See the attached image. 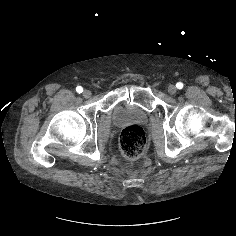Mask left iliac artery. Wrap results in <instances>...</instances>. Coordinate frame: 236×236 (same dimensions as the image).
<instances>
[{
  "mask_svg": "<svg viewBox=\"0 0 236 236\" xmlns=\"http://www.w3.org/2000/svg\"><path fill=\"white\" fill-rule=\"evenodd\" d=\"M183 83L182 82H178L177 84H176V87L178 88V89H182L183 88Z\"/></svg>",
  "mask_w": 236,
  "mask_h": 236,
  "instance_id": "obj_1",
  "label": "left iliac artery"
}]
</instances>
